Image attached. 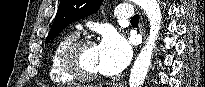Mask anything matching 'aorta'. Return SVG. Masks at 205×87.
Returning <instances> with one entry per match:
<instances>
[{"mask_svg":"<svg viewBox=\"0 0 205 87\" xmlns=\"http://www.w3.org/2000/svg\"><path fill=\"white\" fill-rule=\"evenodd\" d=\"M135 2L146 13L150 24V31L147 41L141 52L138 54L131 69L129 87H141L146 78L149 66L151 64L155 42L158 39L162 20L158 0H135Z\"/></svg>","mask_w":205,"mask_h":87,"instance_id":"1","label":"aorta"}]
</instances>
